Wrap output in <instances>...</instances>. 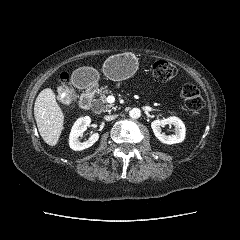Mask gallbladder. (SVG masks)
<instances>
[{
	"instance_id": "1",
	"label": "gallbladder",
	"mask_w": 240,
	"mask_h": 240,
	"mask_svg": "<svg viewBox=\"0 0 240 240\" xmlns=\"http://www.w3.org/2000/svg\"><path fill=\"white\" fill-rule=\"evenodd\" d=\"M58 93H59V94H62V93H63V88H61V87L58 88ZM62 102L65 103V104H68V101L65 100V99H62Z\"/></svg>"
}]
</instances>
